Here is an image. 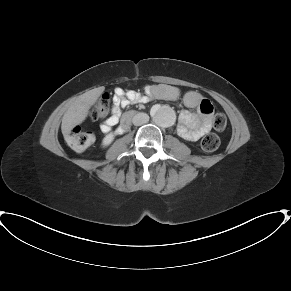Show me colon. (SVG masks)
<instances>
[{"instance_id": "1", "label": "colon", "mask_w": 291, "mask_h": 291, "mask_svg": "<svg viewBox=\"0 0 291 291\" xmlns=\"http://www.w3.org/2000/svg\"><path fill=\"white\" fill-rule=\"evenodd\" d=\"M110 100L111 94L109 92L104 93L99 101L93 106L91 110V118L93 120L106 119L110 112ZM209 108L207 109V112ZM226 117L222 113H218L214 116L213 125L217 130H223L226 127ZM94 139V135L91 131L77 128L72 131L68 138L70 147L76 151H82L87 148ZM220 145V139L215 134L206 135L201 141V147L205 152H213L218 149Z\"/></svg>"}]
</instances>
